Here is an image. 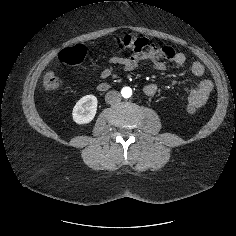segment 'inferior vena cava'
<instances>
[{"instance_id": "602c4592", "label": "inferior vena cava", "mask_w": 236, "mask_h": 236, "mask_svg": "<svg viewBox=\"0 0 236 236\" xmlns=\"http://www.w3.org/2000/svg\"><path fill=\"white\" fill-rule=\"evenodd\" d=\"M105 101L109 104H114L121 101V95L118 91L111 90L105 95Z\"/></svg>"}]
</instances>
